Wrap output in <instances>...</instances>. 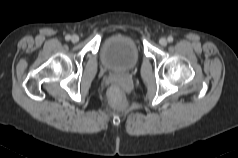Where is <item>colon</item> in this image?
<instances>
[{
    "label": "colon",
    "instance_id": "colon-1",
    "mask_svg": "<svg viewBox=\"0 0 238 158\" xmlns=\"http://www.w3.org/2000/svg\"><path fill=\"white\" fill-rule=\"evenodd\" d=\"M108 99L111 104L116 106H122L125 103L124 94L119 86L114 85L110 88L108 93Z\"/></svg>",
    "mask_w": 238,
    "mask_h": 158
}]
</instances>
